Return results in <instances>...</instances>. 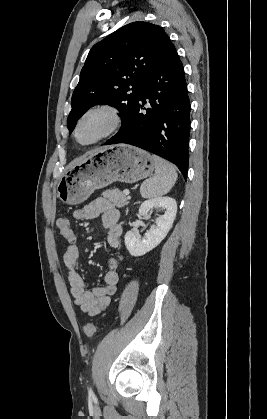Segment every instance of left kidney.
<instances>
[{"label": "left kidney", "instance_id": "obj_1", "mask_svg": "<svg viewBox=\"0 0 267 419\" xmlns=\"http://www.w3.org/2000/svg\"><path fill=\"white\" fill-rule=\"evenodd\" d=\"M154 208L164 211L155 219V225L141 237L138 233L128 231L125 245L132 256H142L158 246L172 228L177 213L176 200L171 197H157L146 200L139 208V216L147 215Z\"/></svg>", "mask_w": 267, "mask_h": 419}]
</instances>
